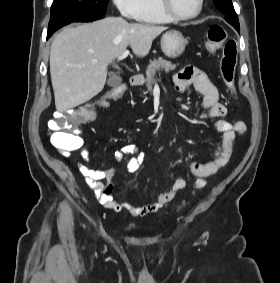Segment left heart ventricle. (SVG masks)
Listing matches in <instances>:
<instances>
[{"instance_id": "obj_1", "label": "left heart ventricle", "mask_w": 280, "mask_h": 283, "mask_svg": "<svg viewBox=\"0 0 280 283\" xmlns=\"http://www.w3.org/2000/svg\"><path fill=\"white\" fill-rule=\"evenodd\" d=\"M172 8L181 15H189L196 11L198 0H170Z\"/></svg>"}]
</instances>
